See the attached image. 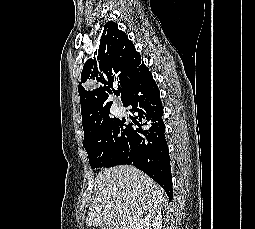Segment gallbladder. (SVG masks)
Segmentation results:
<instances>
[{
	"label": "gallbladder",
	"instance_id": "gallbladder-1",
	"mask_svg": "<svg viewBox=\"0 0 255 229\" xmlns=\"http://www.w3.org/2000/svg\"><path fill=\"white\" fill-rule=\"evenodd\" d=\"M102 229H111L109 226H105Z\"/></svg>",
	"mask_w": 255,
	"mask_h": 229
}]
</instances>
